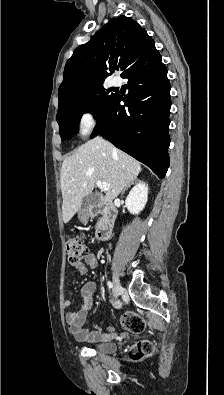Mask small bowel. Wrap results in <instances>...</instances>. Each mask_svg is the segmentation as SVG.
<instances>
[{
	"label": "small bowel",
	"mask_w": 224,
	"mask_h": 395,
	"mask_svg": "<svg viewBox=\"0 0 224 395\" xmlns=\"http://www.w3.org/2000/svg\"><path fill=\"white\" fill-rule=\"evenodd\" d=\"M87 266L90 268H95L97 266V259L95 255L88 253L84 257V263L80 262L75 265L78 273L83 275L87 271ZM96 294V284L95 282H87L81 289L82 301L78 308L73 311H67L65 313V320L70 333L76 340L85 342H98L111 340L118 337L114 329L109 328L106 331L102 330L97 325L93 326L92 330L85 329L83 324L88 316V313L93 305V301ZM64 307L68 308L71 305V299L66 298L63 302ZM125 333L121 336L125 337Z\"/></svg>",
	"instance_id": "1"
}]
</instances>
